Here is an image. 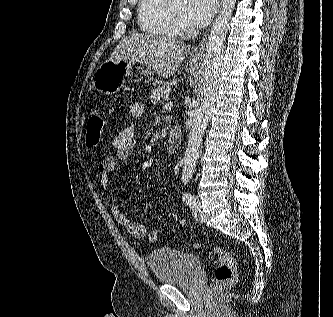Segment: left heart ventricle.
<instances>
[{"label": "left heart ventricle", "mask_w": 333, "mask_h": 317, "mask_svg": "<svg viewBox=\"0 0 333 317\" xmlns=\"http://www.w3.org/2000/svg\"><path fill=\"white\" fill-rule=\"evenodd\" d=\"M172 10L181 18H184V9L186 2L184 0H172L170 2Z\"/></svg>", "instance_id": "1"}]
</instances>
